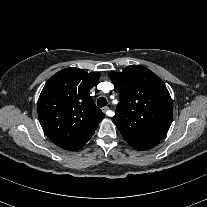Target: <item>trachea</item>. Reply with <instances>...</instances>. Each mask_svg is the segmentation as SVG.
Masks as SVG:
<instances>
[{
	"instance_id": "trachea-1",
	"label": "trachea",
	"mask_w": 207,
	"mask_h": 207,
	"mask_svg": "<svg viewBox=\"0 0 207 207\" xmlns=\"http://www.w3.org/2000/svg\"><path fill=\"white\" fill-rule=\"evenodd\" d=\"M97 105L99 108L103 107V106H106L107 105V100L106 98L104 97H100L98 100H97Z\"/></svg>"
}]
</instances>
